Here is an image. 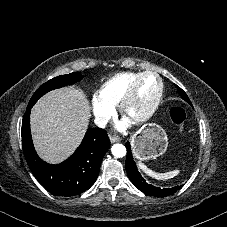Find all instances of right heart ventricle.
<instances>
[{"mask_svg":"<svg viewBox=\"0 0 227 227\" xmlns=\"http://www.w3.org/2000/svg\"><path fill=\"white\" fill-rule=\"evenodd\" d=\"M139 72H122L106 80L97 90V98L110 106L119 104Z\"/></svg>","mask_w":227,"mask_h":227,"instance_id":"e07e8e85","label":"right heart ventricle"}]
</instances>
